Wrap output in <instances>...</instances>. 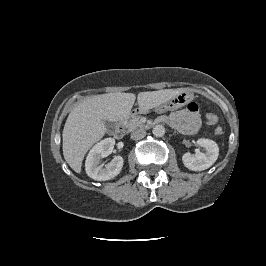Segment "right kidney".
Here are the masks:
<instances>
[{
  "label": "right kidney",
  "mask_w": 266,
  "mask_h": 266,
  "mask_svg": "<svg viewBox=\"0 0 266 266\" xmlns=\"http://www.w3.org/2000/svg\"><path fill=\"white\" fill-rule=\"evenodd\" d=\"M114 145L115 140L113 138H106L89 151L85 163L86 173L89 177L97 181H105L116 177L120 173L124 162L121 156H115L105 166L100 165V159L107 157L112 152Z\"/></svg>",
  "instance_id": "ca27d5eb"
}]
</instances>
